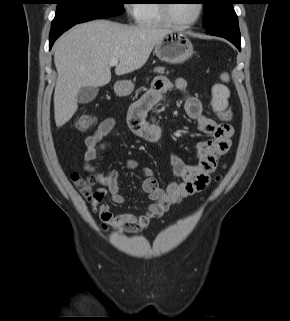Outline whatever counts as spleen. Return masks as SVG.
<instances>
[{"label":"spleen","mask_w":290,"mask_h":321,"mask_svg":"<svg viewBox=\"0 0 290 321\" xmlns=\"http://www.w3.org/2000/svg\"><path fill=\"white\" fill-rule=\"evenodd\" d=\"M220 78L224 82L229 81V75L227 73H223L220 76ZM229 96H230V91L225 85L215 84L212 87L211 104H212L213 109H215L216 111L225 110L228 105L227 99L229 98Z\"/></svg>","instance_id":"obj_1"}]
</instances>
